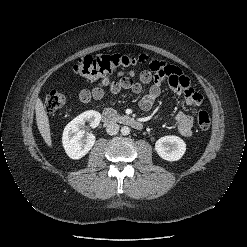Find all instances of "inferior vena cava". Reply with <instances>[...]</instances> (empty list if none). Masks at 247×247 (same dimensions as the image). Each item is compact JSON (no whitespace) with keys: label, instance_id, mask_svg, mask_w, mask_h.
I'll return each instance as SVG.
<instances>
[{"label":"inferior vena cava","instance_id":"inferior-vena-cava-1","mask_svg":"<svg viewBox=\"0 0 247 247\" xmlns=\"http://www.w3.org/2000/svg\"><path fill=\"white\" fill-rule=\"evenodd\" d=\"M119 131V125L117 123L111 122L106 127V132L109 135H116Z\"/></svg>","mask_w":247,"mask_h":247}]
</instances>
